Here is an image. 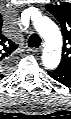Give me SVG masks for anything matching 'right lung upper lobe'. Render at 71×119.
Here are the masks:
<instances>
[{
    "instance_id": "obj_1",
    "label": "right lung upper lobe",
    "mask_w": 71,
    "mask_h": 119,
    "mask_svg": "<svg viewBox=\"0 0 71 119\" xmlns=\"http://www.w3.org/2000/svg\"><path fill=\"white\" fill-rule=\"evenodd\" d=\"M1 49L3 56L8 58L18 47L15 42L11 41L10 39L6 38L5 36L1 35Z\"/></svg>"
}]
</instances>
